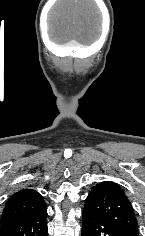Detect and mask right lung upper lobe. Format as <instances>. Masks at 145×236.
<instances>
[{"label": "right lung upper lobe", "mask_w": 145, "mask_h": 236, "mask_svg": "<svg viewBox=\"0 0 145 236\" xmlns=\"http://www.w3.org/2000/svg\"><path fill=\"white\" fill-rule=\"evenodd\" d=\"M44 208L46 205L43 197L37 191L23 189L9 199L3 210L1 222L32 214Z\"/></svg>", "instance_id": "cb5924a9"}]
</instances>
